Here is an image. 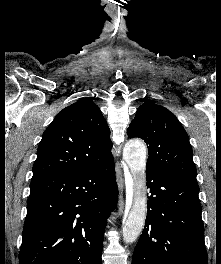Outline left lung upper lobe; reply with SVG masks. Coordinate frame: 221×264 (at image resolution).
Listing matches in <instances>:
<instances>
[{
  "label": "left lung upper lobe",
  "instance_id": "5c2ea615",
  "mask_svg": "<svg viewBox=\"0 0 221 264\" xmlns=\"http://www.w3.org/2000/svg\"><path fill=\"white\" fill-rule=\"evenodd\" d=\"M148 145L146 170L196 181V168L189 138L181 123L168 109L151 101L141 105L128 130Z\"/></svg>",
  "mask_w": 221,
  "mask_h": 264
}]
</instances>
